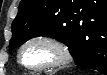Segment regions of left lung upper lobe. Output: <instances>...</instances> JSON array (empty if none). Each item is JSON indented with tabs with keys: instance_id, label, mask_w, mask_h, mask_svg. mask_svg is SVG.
Returning a JSON list of instances; mask_svg holds the SVG:
<instances>
[{
	"instance_id": "5c2ea615",
	"label": "left lung upper lobe",
	"mask_w": 107,
	"mask_h": 75,
	"mask_svg": "<svg viewBox=\"0 0 107 75\" xmlns=\"http://www.w3.org/2000/svg\"><path fill=\"white\" fill-rule=\"evenodd\" d=\"M96 8L88 0H21L11 26L9 48L14 49L33 37L51 36L65 43L73 57H80L88 42L80 39L81 24ZM89 36L91 39L93 34Z\"/></svg>"
}]
</instances>
